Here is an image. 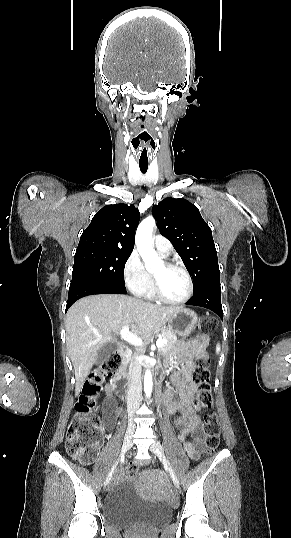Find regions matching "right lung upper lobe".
Segmentation results:
<instances>
[{
  "mask_svg": "<svg viewBox=\"0 0 291 538\" xmlns=\"http://www.w3.org/2000/svg\"><path fill=\"white\" fill-rule=\"evenodd\" d=\"M140 213L134 205L104 206L81 235L76 251L102 248L132 251Z\"/></svg>",
  "mask_w": 291,
  "mask_h": 538,
  "instance_id": "cb5924a9",
  "label": "right lung upper lobe"
}]
</instances>
